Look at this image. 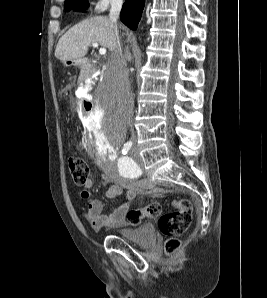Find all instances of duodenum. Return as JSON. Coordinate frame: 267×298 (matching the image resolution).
I'll return each mask as SVG.
<instances>
[{
    "label": "duodenum",
    "instance_id": "1",
    "mask_svg": "<svg viewBox=\"0 0 267 298\" xmlns=\"http://www.w3.org/2000/svg\"><path fill=\"white\" fill-rule=\"evenodd\" d=\"M90 65V61L88 59H79L75 61V66L79 68H86ZM91 98H97V93H90L89 97H84L80 100V105H83V115H93L94 107L93 100Z\"/></svg>",
    "mask_w": 267,
    "mask_h": 298
}]
</instances>
